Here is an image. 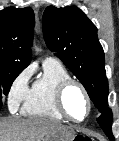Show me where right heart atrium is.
Masks as SVG:
<instances>
[{
	"label": "right heart atrium",
	"mask_w": 119,
	"mask_h": 141,
	"mask_svg": "<svg viewBox=\"0 0 119 141\" xmlns=\"http://www.w3.org/2000/svg\"><path fill=\"white\" fill-rule=\"evenodd\" d=\"M32 72V67H27L13 80L8 92V106L11 111H16L24 102Z\"/></svg>",
	"instance_id": "obj_1"
}]
</instances>
